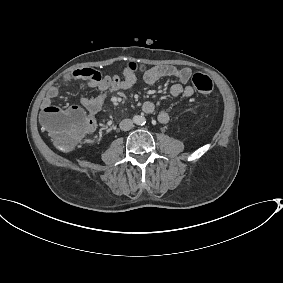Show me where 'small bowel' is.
Listing matches in <instances>:
<instances>
[{
    "label": "small bowel",
    "instance_id": "c3829d8e",
    "mask_svg": "<svg viewBox=\"0 0 283 283\" xmlns=\"http://www.w3.org/2000/svg\"><path fill=\"white\" fill-rule=\"evenodd\" d=\"M67 78L93 91V93L85 94L80 99L81 105L90 115H94L101 110L110 93L127 90L136 81L135 73L128 67L123 72V78L117 75H102L100 72L91 68L76 69L68 74ZM143 78L145 83L150 86L155 85L163 78H175L178 82L170 87V94L173 97L181 96L183 98H189L194 94V89L188 85L191 78V70L188 68L158 65L146 70ZM59 94L60 92L57 87L53 86L49 88L42 102L43 111L54 107L52 103L59 97ZM142 110L147 114H154L156 107L152 101L148 100L143 103ZM157 119L160 123L167 124L170 121V114L167 111H160L157 114Z\"/></svg>",
    "mask_w": 283,
    "mask_h": 283
}]
</instances>
